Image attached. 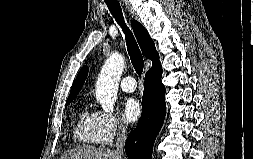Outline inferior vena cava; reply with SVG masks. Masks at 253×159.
<instances>
[{
	"instance_id": "602c4592",
	"label": "inferior vena cava",
	"mask_w": 253,
	"mask_h": 159,
	"mask_svg": "<svg viewBox=\"0 0 253 159\" xmlns=\"http://www.w3.org/2000/svg\"><path fill=\"white\" fill-rule=\"evenodd\" d=\"M126 141V128L123 125L118 126L117 138H116V153L122 155L124 150V145Z\"/></svg>"
}]
</instances>
